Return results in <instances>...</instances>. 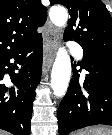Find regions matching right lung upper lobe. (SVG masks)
I'll list each match as a JSON object with an SVG mask.
<instances>
[{"instance_id": "right-lung-upper-lobe-1", "label": "right lung upper lobe", "mask_w": 112, "mask_h": 135, "mask_svg": "<svg viewBox=\"0 0 112 135\" xmlns=\"http://www.w3.org/2000/svg\"><path fill=\"white\" fill-rule=\"evenodd\" d=\"M46 19L40 0H0V59L41 36Z\"/></svg>"}]
</instances>
